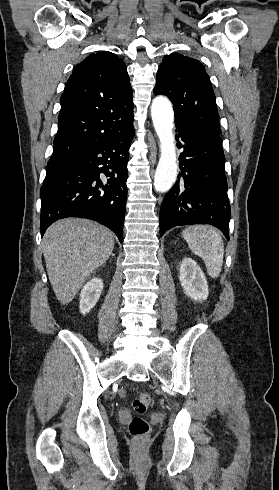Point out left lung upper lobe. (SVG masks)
<instances>
[{"label": "left lung upper lobe", "mask_w": 279, "mask_h": 490, "mask_svg": "<svg viewBox=\"0 0 279 490\" xmlns=\"http://www.w3.org/2000/svg\"><path fill=\"white\" fill-rule=\"evenodd\" d=\"M154 94H164L174 104L175 121L220 135L219 114L210 78L196 59L170 54L160 65Z\"/></svg>", "instance_id": "left-lung-upper-lobe-1"}]
</instances>
